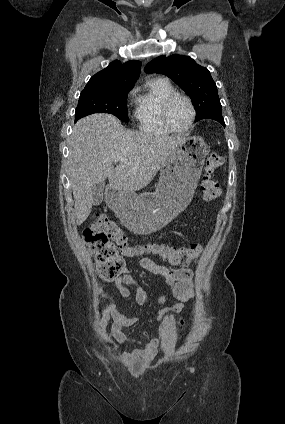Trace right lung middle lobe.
Here are the masks:
<instances>
[{
  "label": "right lung middle lobe",
  "mask_w": 285,
  "mask_h": 424,
  "mask_svg": "<svg viewBox=\"0 0 285 424\" xmlns=\"http://www.w3.org/2000/svg\"><path fill=\"white\" fill-rule=\"evenodd\" d=\"M133 85L84 89L79 97L75 121L93 113H109L127 122V95Z\"/></svg>",
  "instance_id": "obj_1"
}]
</instances>
